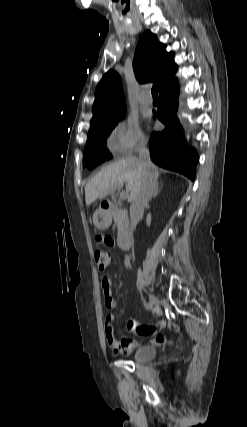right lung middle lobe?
<instances>
[{"mask_svg": "<svg viewBox=\"0 0 247 427\" xmlns=\"http://www.w3.org/2000/svg\"><path fill=\"white\" fill-rule=\"evenodd\" d=\"M123 112L117 118L89 130L83 154V167L92 169L111 158V154L106 149V138L122 118Z\"/></svg>", "mask_w": 247, "mask_h": 427, "instance_id": "dd1d6c3e", "label": "right lung middle lobe"}]
</instances>
